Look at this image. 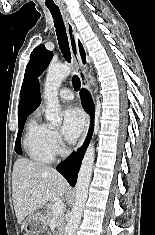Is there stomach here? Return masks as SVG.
<instances>
[{
	"label": "stomach",
	"mask_w": 155,
	"mask_h": 235,
	"mask_svg": "<svg viewBox=\"0 0 155 235\" xmlns=\"http://www.w3.org/2000/svg\"><path fill=\"white\" fill-rule=\"evenodd\" d=\"M46 226V219L41 212L32 214L25 225V235H37Z\"/></svg>",
	"instance_id": "0dacf381"
}]
</instances>
